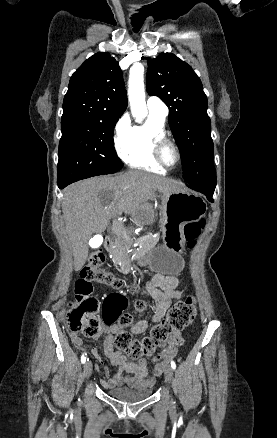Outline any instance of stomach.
Masks as SVG:
<instances>
[{
  "mask_svg": "<svg viewBox=\"0 0 277 438\" xmlns=\"http://www.w3.org/2000/svg\"><path fill=\"white\" fill-rule=\"evenodd\" d=\"M160 227L163 244L139 257L140 265L164 275H176L184 267L181 253L185 249L184 226L201 219L206 210L203 199L194 192L177 189L163 191Z\"/></svg>",
  "mask_w": 277,
  "mask_h": 438,
  "instance_id": "0dacf381",
  "label": "stomach"
}]
</instances>
